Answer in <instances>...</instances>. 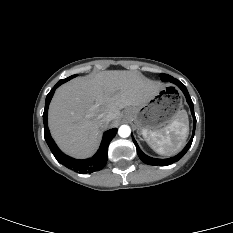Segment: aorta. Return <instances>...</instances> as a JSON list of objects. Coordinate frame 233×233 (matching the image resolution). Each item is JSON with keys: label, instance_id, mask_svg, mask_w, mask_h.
<instances>
[{"label": "aorta", "instance_id": "762f6f07", "mask_svg": "<svg viewBox=\"0 0 233 233\" xmlns=\"http://www.w3.org/2000/svg\"><path fill=\"white\" fill-rule=\"evenodd\" d=\"M131 129L128 125H122L119 127L118 134L122 138H126L130 135Z\"/></svg>", "mask_w": 233, "mask_h": 233}]
</instances>
